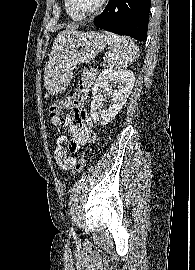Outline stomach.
<instances>
[{
	"label": "stomach",
	"mask_w": 195,
	"mask_h": 270,
	"mask_svg": "<svg viewBox=\"0 0 195 270\" xmlns=\"http://www.w3.org/2000/svg\"><path fill=\"white\" fill-rule=\"evenodd\" d=\"M99 31H75L63 36L57 45L54 57L45 68V86L50 94L62 93L68 86L74 68L91 61L106 45Z\"/></svg>",
	"instance_id": "0dacf381"
}]
</instances>
